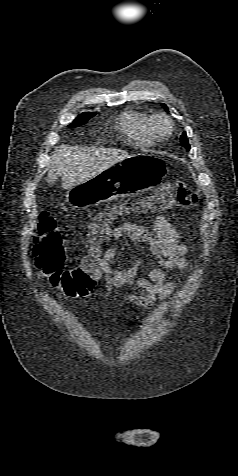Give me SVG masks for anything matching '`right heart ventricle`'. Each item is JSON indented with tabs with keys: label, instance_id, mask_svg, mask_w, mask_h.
<instances>
[{
	"label": "right heart ventricle",
	"instance_id": "e07e8e85",
	"mask_svg": "<svg viewBox=\"0 0 238 476\" xmlns=\"http://www.w3.org/2000/svg\"><path fill=\"white\" fill-rule=\"evenodd\" d=\"M121 129L135 145L149 147L155 144L156 137L151 129V117L143 112L128 110L121 115Z\"/></svg>",
	"mask_w": 238,
	"mask_h": 476
}]
</instances>
